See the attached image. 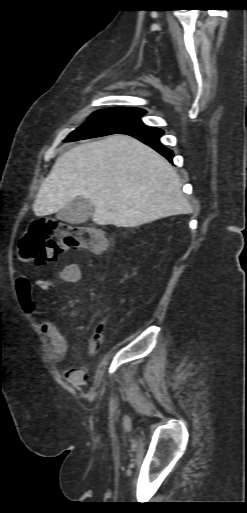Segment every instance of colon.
Instances as JSON below:
<instances>
[{
  "instance_id": "5ec220e1",
  "label": "colon",
  "mask_w": 247,
  "mask_h": 513,
  "mask_svg": "<svg viewBox=\"0 0 247 513\" xmlns=\"http://www.w3.org/2000/svg\"><path fill=\"white\" fill-rule=\"evenodd\" d=\"M107 246L106 236L98 229L42 218L30 224L19 241L18 249L23 260L43 264L46 261H56L60 254L70 248H84L101 253ZM103 339V327L99 324L92 337L91 346L98 349Z\"/></svg>"
}]
</instances>
